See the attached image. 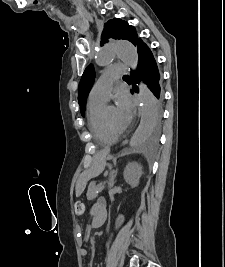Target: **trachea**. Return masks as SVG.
<instances>
[{"label":"trachea","mask_w":225,"mask_h":267,"mask_svg":"<svg viewBox=\"0 0 225 267\" xmlns=\"http://www.w3.org/2000/svg\"><path fill=\"white\" fill-rule=\"evenodd\" d=\"M124 77H129L128 75H124Z\"/></svg>","instance_id":"trachea-1"}]
</instances>
